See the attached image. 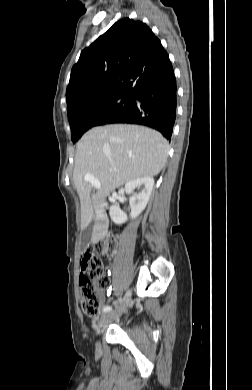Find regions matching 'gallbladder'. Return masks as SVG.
<instances>
[{
    "mask_svg": "<svg viewBox=\"0 0 252 390\" xmlns=\"http://www.w3.org/2000/svg\"><path fill=\"white\" fill-rule=\"evenodd\" d=\"M94 220L82 231L81 237L83 244L88 243L92 230H93Z\"/></svg>",
    "mask_w": 252,
    "mask_h": 390,
    "instance_id": "bac80fb5",
    "label": "gallbladder"
}]
</instances>
